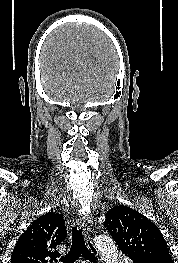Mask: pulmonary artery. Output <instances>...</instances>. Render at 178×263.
<instances>
[{
    "label": "pulmonary artery",
    "instance_id": "1",
    "mask_svg": "<svg viewBox=\"0 0 178 263\" xmlns=\"http://www.w3.org/2000/svg\"><path fill=\"white\" fill-rule=\"evenodd\" d=\"M120 263H130V261L128 259H122L120 260Z\"/></svg>",
    "mask_w": 178,
    "mask_h": 263
}]
</instances>
